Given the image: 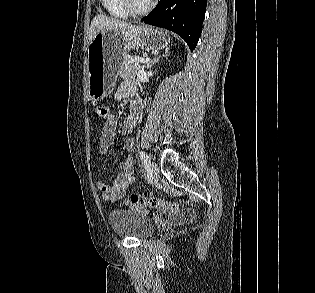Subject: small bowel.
Returning a JSON list of instances; mask_svg holds the SVG:
<instances>
[{
	"instance_id": "1",
	"label": "small bowel",
	"mask_w": 315,
	"mask_h": 293,
	"mask_svg": "<svg viewBox=\"0 0 315 293\" xmlns=\"http://www.w3.org/2000/svg\"><path fill=\"white\" fill-rule=\"evenodd\" d=\"M136 94V88L133 82L126 81L122 83L115 93L116 100H122L128 97H134ZM142 109L138 101H134L130 115L125 119L122 126V135H128L132 130L141 122ZM117 116L109 114L107 119L104 121L99 141V154L100 156L106 155L109 148L114 143L116 127H117ZM135 142L133 139H129L126 142V148L128 151L134 149ZM135 181L134 173V160L131 156L126 157L120 163V173L114 178L111 183H105L103 181L97 182V188L101 193L102 199L107 202H114L121 199L129 186ZM157 216L161 219L169 218L174 220V216L170 211H159Z\"/></svg>"
}]
</instances>
